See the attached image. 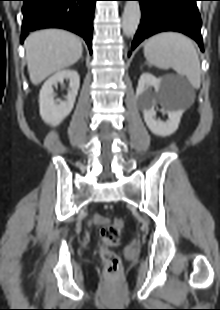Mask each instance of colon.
Here are the masks:
<instances>
[{
	"mask_svg": "<svg viewBox=\"0 0 220 310\" xmlns=\"http://www.w3.org/2000/svg\"><path fill=\"white\" fill-rule=\"evenodd\" d=\"M123 227L124 223L121 219H114L105 223L100 231L99 252L109 276H117L121 270L120 258L111 250V247L119 242Z\"/></svg>",
	"mask_w": 220,
	"mask_h": 310,
	"instance_id": "obj_1",
	"label": "colon"
}]
</instances>
